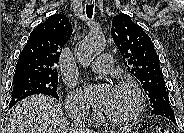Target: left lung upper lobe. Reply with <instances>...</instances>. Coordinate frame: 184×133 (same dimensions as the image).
I'll return each instance as SVG.
<instances>
[{
    "mask_svg": "<svg viewBox=\"0 0 184 133\" xmlns=\"http://www.w3.org/2000/svg\"><path fill=\"white\" fill-rule=\"evenodd\" d=\"M111 34L127 70L140 81L153 109L170 105L151 38L126 14L113 17Z\"/></svg>",
    "mask_w": 184,
    "mask_h": 133,
    "instance_id": "5c2ea615",
    "label": "left lung upper lobe"
}]
</instances>
